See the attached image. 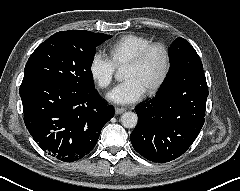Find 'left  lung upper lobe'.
Returning <instances> with one entry per match:
<instances>
[{
  "instance_id": "obj_1",
  "label": "left lung upper lobe",
  "mask_w": 240,
  "mask_h": 191,
  "mask_svg": "<svg viewBox=\"0 0 240 191\" xmlns=\"http://www.w3.org/2000/svg\"><path fill=\"white\" fill-rule=\"evenodd\" d=\"M169 60L170 69L162 83L161 87L165 86L168 80L181 71L184 65H197L199 68H203L202 62L195 51V49L185 39L178 37L173 41L169 48Z\"/></svg>"
}]
</instances>
